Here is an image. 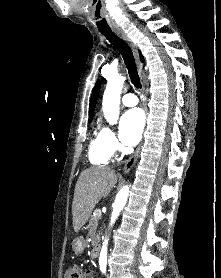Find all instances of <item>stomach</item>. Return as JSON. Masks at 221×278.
<instances>
[{"mask_svg": "<svg viewBox=\"0 0 221 278\" xmlns=\"http://www.w3.org/2000/svg\"><path fill=\"white\" fill-rule=\"evenodd\" d=\"M85 242L82 237H78L72 242V249L75 254H81L84 251Z\"/></svg>", "mask_w": 221, "mask_h": 278, "instance_id": "stomach-1", "label": "stomach"}]
</instances>
